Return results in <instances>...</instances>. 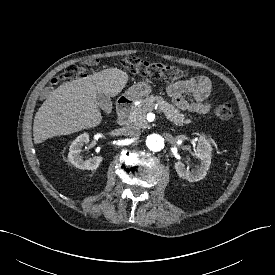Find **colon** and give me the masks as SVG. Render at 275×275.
Returning a JSON list of instances; mask_svg holds the SVG:
<instances>
[{
  "label": "colon",
  "instance_id": "obj_1",
  "mask_svg": "<svg viewBox=\"0 0 275 275\" xmlns=\"http://www.w3.org/2000/svg\"><path fill=\"white\" fill-rule=\"evenodd\" d=\"M95 63L96 61L89 62V64ZM122 66L134 74L170 82L180 80L187 75L185 70L177 66L148 62L136 56L125 57L122 60ZM84 76H86V69L83 66L71 65L59 75L57 80L68 82ZM214 114L219 119L228 120L233 115L232 106L229 103L219 104L214 108Z\"/></svg>",
  "mask_w": 275,
  "mask_h": 275
}]
</instances>
